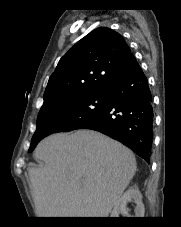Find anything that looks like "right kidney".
<instances>
[{"mask_svg":"<svg viewBox=\"0 0 181 227\" xmlns=\"http://www.w3.org/2000/svg\"><path fill=\"white\" fill-rule=\"evenodd\" d=\"M134 201L136 204L134 209V217H144V204L142 202V194L138 187H130L114 205L110 217H119L120 214H128L127 204Z\"/></svg>","mask_w":181,"mask_h":227,"instance_id":"obj_1","label":"right kidney"}]
</instances>
